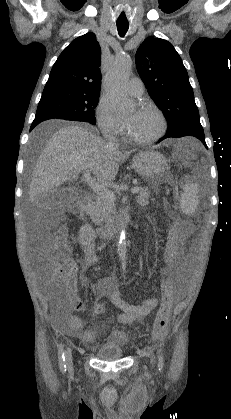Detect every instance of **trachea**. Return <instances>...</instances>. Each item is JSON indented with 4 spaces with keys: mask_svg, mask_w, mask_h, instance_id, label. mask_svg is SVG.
Returning a JSON list of instances; mask_svg holds the SVG:
<instances>
[{
    "mask_svg": "<svg viewBox=\"0 0 231 419\" xmlns=\"http://www.w3.org/2000/svg\"><path fill=\"white\" fill-rule=\"evenodd\" d=\"M129 23L128 22H117L118 33L123 37L128 31Z\"/></svg>",
    "mask_w": 231,
    "mask_h": 419,
    "instance_id": "obj_1",
    "label": "trachea"
}]
</instances>
